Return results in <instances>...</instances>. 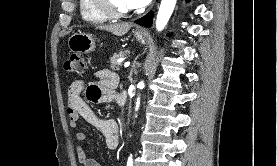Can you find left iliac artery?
Here are the masks:
<instances>
[{"label":"left iliac artery","mask_w":277,"mask_h":166,"mask_svg":"<svg viewBox=\"0 0 277 166\" xmlns=\"http://www.w3.org/2000/svg\"><path fill=\"white\" fill-rule=\"evenodd\" d=\"M127 166H133V159L132 155L129 156L128 161H127Z\"/></svg>","instance_id":"1"}]
</instances>
